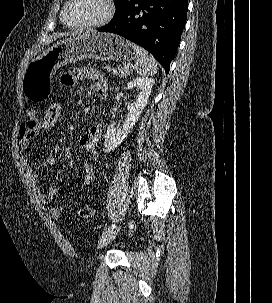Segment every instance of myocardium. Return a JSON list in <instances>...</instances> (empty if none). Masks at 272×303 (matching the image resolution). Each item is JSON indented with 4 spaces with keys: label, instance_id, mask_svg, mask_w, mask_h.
<instances>
[{
    "label": "myocardium",
    "instance_id": "obj_1",
    "mask_svg": "<svg viewBox=\"0 0 272 303\" xmlns=\"http://www.w3.org/2000/svg\"><path fill=\"white\" fill-rule=\"evenodd\" d=\"M74 0H67V2L65 3L63 9H62V14H61V18L63 23L73 29H88V28H99L102 27L106 24H108L114 14H115V4L113 0H102V2L105 5L106 8V12L104 14V16L96 21H91V22H84V23H79V24H71L67 21L66 19V11L68 9V7L70 6V4L73 2Z\"/></svg>",
    "mask_w": 272,
    "mask_h": 303
}]
</instances>
